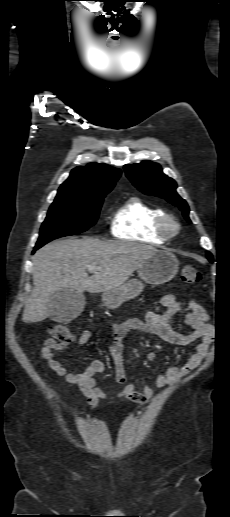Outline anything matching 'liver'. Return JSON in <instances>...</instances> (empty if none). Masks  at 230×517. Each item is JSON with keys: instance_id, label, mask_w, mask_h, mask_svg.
<instances>
[{"instance_id": "1", "label": "liver", "mask_w": 230, "mask_h": 517, "mask_svg": "<svg viewBox=\"0 0 230 517\" xmlns=\"http://www.w3.org/2000/svg\"><path fill=\"white\" fill-rule=\"evenodd\" d=\"M156 251L149 245L94 238L58 240L43 246L33 258L34 288L24 308L23 322L48 318L47 304L60 290L100 293L122 286ZM88 266L98 268L91 277Z\"/></svg>"}]
</instances>
